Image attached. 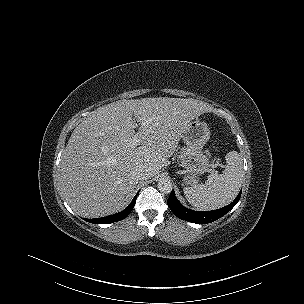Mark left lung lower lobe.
<instances>
[{"instance_id":"left-lung-lower-lobe-1","label":"left lung lower lobe","mask_w":304,"mask_h":304,"mask_svg":"<svg viewBox=\"0 0 304 304\" xmlns=\"http://www.w3.org/2000/svg\"><path fill=\"white\" fill-rule=\"evenodd\" d=\"M241 192L237 195V197L235 198V200L220 209L217 210H212V211H194V210H190L188 208H185L184 206L181 205V203L177 200V198L175 197V193L174 190H172L167 204L169 206V208L171 209V211L175 214V216H177L178 218L188 221V222H192V223H197V224H208L211 223L217 219H219L220 217L224 216L226 213H228L239 201L240 196H241Z\"/></svg>"}]
</instances>
